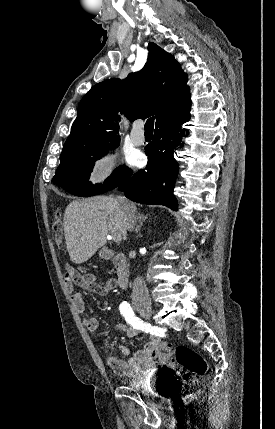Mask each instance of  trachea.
Returning <instances> with one entry per match:
<instances>
[{"instance_id": "trachea-1", "label": "trachea", "mask_w": 275, "mask_h": 429, "mask_svg": "<svg viewBox=\"0 0 275 429\" xmlns=\"http://www.w3.org/2000/svg\"><path fill=\"white\" fill-rule=\"evenodd\" d=\"M154 128V117L149 118L144 126L145 133H153Z\"/></svg>"}]
</instances>
